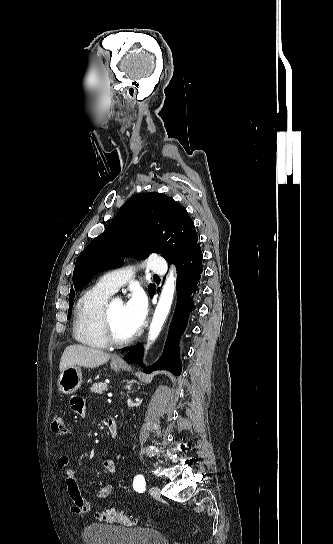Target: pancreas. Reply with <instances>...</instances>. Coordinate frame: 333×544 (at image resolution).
I'll use <instances>...</instances> for the list:
<instances>
[{"mask_svg":"<svg viewBox=\"0 0 333 544\" xmlns=\"http://www.w3.org/2000/svg\"><path fill=\"white\" fill-rule=\"evenodd\" d=\"M90 389H91V392L93 393L102 394L104 391H107L108 388L106 383L99 382V383H94Z\"/></svg>","mask_w":333,"mask_h":544,"instance_id":"pancreas-1","label":"pancreas"}]
</instances>
